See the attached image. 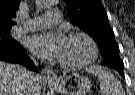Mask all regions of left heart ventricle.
I'll return each mask as SVG.
<instances>
[{
    "label": "left heart ventricle",
    "instance_id": "b2bd125f",
    "mask_svg": "<svg viewBox=\"0 0 135 95\" xmlns=\"http://www.w3.org/2000/svg\"><path fill=\"white\" fill-rule=\"evenodd\" d=\"M52 28V26H48ZM90 55V49L85 40L81 38L67 39L62 62L78 63L87 59Z\"/></svg>",
    "mask_w": 135,
    "mask_h": 95
}]
</instances>
